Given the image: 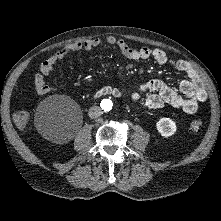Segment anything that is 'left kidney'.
<instances>
[{
  "label": "left kidney",
  "mask_w": 221,
  "mask_h": 221,
  "mask_svg": "<svg viewBox=\"0 0 221 221\" xmlns=\"http://www.w3.org/2000/svg\"><path fill=\"white\" fill-rule=\"evenodd\" d=\"M156 127L158 132L166 138L172 136L177 130L176 123L172 119L166 117L160 118L156 123Z\"/></svg>",
  "instance_id": "obj_1"
}]
</instances>
